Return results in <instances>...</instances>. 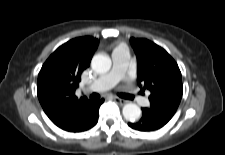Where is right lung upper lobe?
Listing matches in <instances>:
<instances>
[{
    "mask_svg": "<svg viewBox=\"0 0 225 155\" xmlns=\"http://www.w3.org/2000/svg\"><path fill=\"white\" fill-rule=\"evenodd\" d=\"M97 45L98 40L90 36L72 39L56 49L42 66L37 95L44 112L55 125L68 124L73 115L90 103L85 97L78 99L75 90Z\"/></svg>",
    "mask_w": 225,
    "mask_h": 155,
    "instance_id": "right-lung-upper-lobe-1",
    "label": "right lung upper lobe"
}]
</instances>
